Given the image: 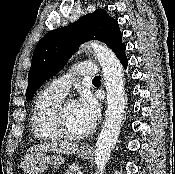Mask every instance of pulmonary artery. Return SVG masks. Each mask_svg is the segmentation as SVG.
Instances as JSON below:
<instances>
[{
	"label": "pulmonary artery",
	"mask_w": 175,
	"mask_h": 174,
	"mask_svg": "<svg viewBox=\"0 0 175 174\" xmlns=\"http://www.w3.org/2000/svg\"><path fill=\"white\" fill-rule=\"evenodd\" d=\"M97 73L98 70L94 63L88 61L80 62L75 66L73 73L66 74L53 80L48 88L55 93L65 96L68 94L71 85L76 80V75L83 77H95L98 75Z\"/></svg>",
	"instance_id": "e3ab8cb5"
}]
</instances>
